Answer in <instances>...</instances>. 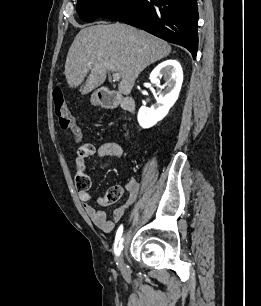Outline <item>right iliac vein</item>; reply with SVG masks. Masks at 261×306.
Returning a JSON list of instances; mask_svg holds the SVG:
<instances>
[{
    "instance_id": "right-iliac-vein-1",
    "label": "right iliac vein",
    "mask_w": 261,
    "mask_h": 306,
    "mask_svg": "<svg viewBox=\"0 0 261 306\" xmlns=\"http://www.w3.org/2000/svg\"><path fill=\"white\" fill-rule=\"evenodd\" d=\"M119 267L123 273H127V267L124 262L123 254L119 257Z\"/></svg>"
}]
</instances>
